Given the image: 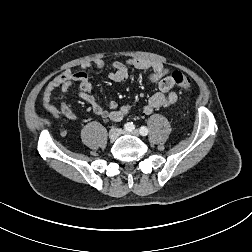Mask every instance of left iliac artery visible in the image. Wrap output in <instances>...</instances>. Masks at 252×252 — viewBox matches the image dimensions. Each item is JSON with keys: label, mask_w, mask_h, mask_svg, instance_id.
Masks as SVG:
<instances>
[{"label": "left iliac artery", "mask_w": 252, "mask_h": 252, "mask_svg": "<svg viewBox=\"0 0 252 252\" xmlns=\"http://www.w3.org/2000/svg\"><path fill=\"white\" fill-rule=\"evenodd\" d=\"M139 131L142 136H146L149 132L148 128L145 126H142Z\"/></svg>", "instance_id": "obj_1"}]
</instances>
